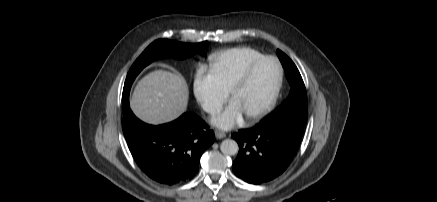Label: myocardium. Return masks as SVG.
<instances>
[{"label":"myocardium","mask_w":437,"mask_h":202,"mask_svg":"<svg viewBox=\"0 0 437 202\" xmlns=\"http://www.w3.org/2000/svg\"><path fill=\"white\" fill-rule=\"evenodd\" d=\"M268 60L274 61L277 64V67H278L277 80L274 84V87L272 89V92H271V95H270L268 101L257 112L246 117L248 122H255V121L260 120L265 115H267L274 107V105L277 101V98L279 96L282 82H283L284 71H283V66H282L281 62L278 60V58H276L275 56H271V55H266V56H262L258 59H255L246 67L244 72L235 81V83L233 84V86L231 87V89L229 91L230 97L232 98L238 90H240L243 86H245L247 84V82L252 77V74L255 71V69L257 68V66L265 61H268Z\"/></svg>","instance_id":"obj_1"}]
</instances>
